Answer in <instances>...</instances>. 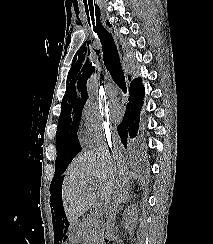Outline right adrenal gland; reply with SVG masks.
Wrapping results in <instances>:
<instances>
[{
    "label": "right adrenal gland",
    "instance_id": "obj_1",
    "mask_svg": "<svg viewBox=\"0 0 213 244\" xmlns=\"http://www.w3.org/2000/svg\"><path fill=\"white\" fill-rule=\"evenodd\" d=\"M122 192H123L122 203H125L127 200L133 197L132 195H130V190L128 187L124 188Z\"/></svg>",
    "mask_w": 213,
    "mask_h": 244
}]
</instances>
